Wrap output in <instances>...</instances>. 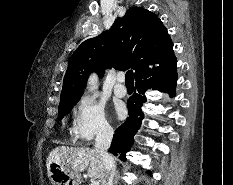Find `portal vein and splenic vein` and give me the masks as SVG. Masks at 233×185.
I'll use <instances>...</instances> for the list:
<instances>
[{
    "mask_svg": "<svg viewBox=\"0 0 233 185\" xmlns=\"http://www.w3.org/2000/svg\"><path fill=\"white\" fill-rule=\"evenodd\" d=\"M90 185H99L98 181H92Z\"/></svg>",
    "mask_w": 233,
    "mask_h": 185,
    "instance_id": "1",
    "label": "portal vein and splenic vein"
}]
</instances>
